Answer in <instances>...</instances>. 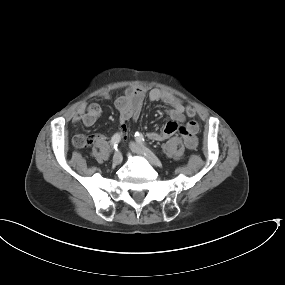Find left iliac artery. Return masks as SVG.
<instances>
[{"label":"left iliac artery","mask_w":285,"mask_h":285,"mask_svg":"<svg viewBox=\"0 0 285 285\" xmlns=\"http://www.w3.org/2000/svg\"><path fill=\"white\" fill-rule=\"evenodd\" d=\"M135 138H136V141L140 144H145V140H144V137L141 133L139 132H136L135 133Z\"/></svg>","instance_id":"1"}]
</instances>
